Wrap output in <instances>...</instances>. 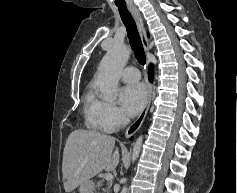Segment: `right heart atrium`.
Wrapping results in <instances>:
<instances>
[{"instance_id":"right-heart-atrium-1","label":"right heart atrium","mask_w":237,"mask_h":193,"mask_svg":"<svg viewBox=\"0 0 237 193\" xmlns=\"http://www.w3.org/2000/svg\"><path fill=\"white\" fill-rule=\"evenodd\" d=\"M97 113L104 132H113L121 128L127 121L123 111L112 102L98 101Z\"/></svg>"}]
</instances>
